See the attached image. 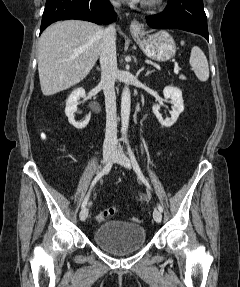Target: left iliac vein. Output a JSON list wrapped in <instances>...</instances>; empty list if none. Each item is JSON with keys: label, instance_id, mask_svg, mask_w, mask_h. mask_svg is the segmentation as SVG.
Masks as SVG:
<instances>
[{"label": "left iliac vein", "instance_id": "left-iliac-vein-1", "mask_svg": "<svg viewBox=\"0 0 240 287\" xmlns=\"http://www.w3.org/2000/svg\"><path fill=\"white\" fill-rule=\"evenodd\" d=\"M113 160L114 162L126 167V168H131V162L129 158L121 151V149H118V153L116 150V153L113 155ZM153 218L157 223H160L162 220V214L158 209H155L153 211Z\"/></svg>", "mask_w": 240, "mask_h": 287}]
</instances>
